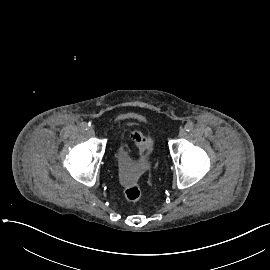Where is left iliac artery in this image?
I'll list each match as a JSON object with an SVG mask.
<instances>
[{
  "instance_id": "obj_1",
  "label": "left iliac artery",
  "mask_w": 270,
  "mask_h": 270,
  "mask_svg": "<svg viewBox=\"0 0 270 270\" xmlns=\"http://www.w3.org/2000/svg\"><path fill=\"white\" fill-rule=\"evenodd\" d=\"M193 128H194V124H193L192 122H187V123H186V125H185V130H186L187 132L192 131Z\"/></svg>"
}]
</instances>
